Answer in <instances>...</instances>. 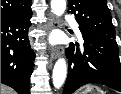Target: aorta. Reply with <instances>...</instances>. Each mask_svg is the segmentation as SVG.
<instances>
[{"instance_id":"762f6f07","label":"aorta","mask_w":121,"mask_h":94,"mask_svg":"<svg viewBox=\"0 0 121 94\" xmlns=\"http://www.w3.org/2000/svg\"><path fill=\"white\" fill-rule=\"evenodd\" d=\"M51 9L56 16H62L66 9V0H51ZM67 65L64 58H60L53 68V85L55 88H60L66 79Z\"/></svg>"}]
</instances>
